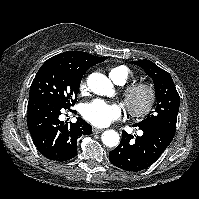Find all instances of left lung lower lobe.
I'll list each match as a JSON object with an SVG mask.
<instances>
[{
	"mask_svg": "<svg viewBox=\"0 0 199 199\" xmlns=\"http://www.w3.org/2000/svg\"><path fill=\"white\" fill-rule=\"evenodd\" d=\"M136 126V125H134ZM142 136L122 131L120 144L109 153L110 162L126 171H141L152 165L171 143L175 133L158 126H138Z\"/></svg>",
	"mask_w": 199,
	"mask_h": 199,
	"instance_id": "left-lung-lower-lobe-1",
	"label": "left lung lower lobe"
}]
</instances>
